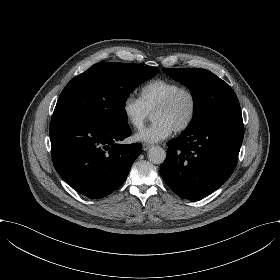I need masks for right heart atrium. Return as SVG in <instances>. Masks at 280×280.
Segmentation results:
<instances>
[{"mask_svg": "<svg viewBox=\"0 0 280 280\" xmlns=\"http://www.w3.org/2000/svg\"><path fill=\"white\" fill-rule=\"evenodd\" d=\"M122 113L125 120L134 128H140L145 119L149 116V112L143 103L136 98L126 97L122 102Z\"/></svg>", "mask_w": 280, "mask_h": 280, "instance_id": "right-heart-atrium-1", "label": "right heart atrium"}]
</instances>
